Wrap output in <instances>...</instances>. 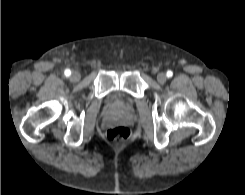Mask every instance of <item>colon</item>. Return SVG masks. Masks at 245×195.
Instances as JSON below:
<instances>
[{"label":"colon","mask_w":245,"mask_h":195,"mask_svg":"<svg viewBox=\"0 0 245 195\" xmlns=\"http://www.w3.org/2000/svg\"><path fill=\"white\" fill-rule=\"evenodd\" d=\"M106 135L109 141L114 143H122L130 138L131 131L125 126H117L110 128Z\"/></svg>","instance_id":"1"}]
</instances>
